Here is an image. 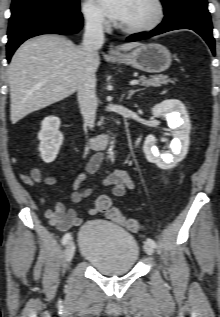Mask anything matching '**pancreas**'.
<instances>
[{"instance_id":"obj_1","label":"pancreas","mask_w":220,"mask_h":317,"mask_svg":"<svg viewBox=\"0 0 220 317\" xmlns=\"http://www.w3.org/2000/svg\"><path fill=\"white\" fill-rule=\"evenodd\" d=\"M141 85L145 87H160L163 84L167 83H175L176 80L168 79L167 76L159 75V76H151L147 79L145 76L140 77Z\"/></svg>"}]
</instances>
